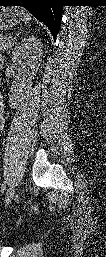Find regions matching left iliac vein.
<instances>
[{"instance_id": "4c4485c4", "label": "left iliac vein", "mask_w": 106, "mask_h": 257, "mask_svg": "<svg viewBox=\"0 0 106 257\" xmlns=\"http://www.w3.org/2000/svg\"><path fill=\"white\" fill-rule=\"evenodd\" d=\"M15 195V187L12 185L6 192L5 202L8 204Z\"/></svg>"}]
</instances>
